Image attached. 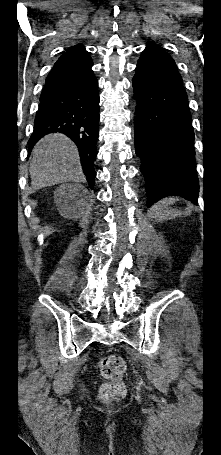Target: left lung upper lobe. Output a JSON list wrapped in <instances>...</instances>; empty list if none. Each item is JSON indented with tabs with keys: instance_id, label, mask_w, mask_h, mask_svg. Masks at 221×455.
<instances>
[{
	"instance_id": "left-lung-upper-lobe-1",
	"label": "left lung upper lobe",
	"mask_w": 221,
	"mask_h": 455,
	"mask_svg": "<svg viewBox=\"0 0 221 455\" xmlns=\"http://www.w3.org/2000/svg\"><path fill=\"white\" fill-rule=\"evenodd\" d=\"M138 66L167 73L182 82L172 57L156 45L148 44L138 61Z\"/></svg>"
}]
</instances>
